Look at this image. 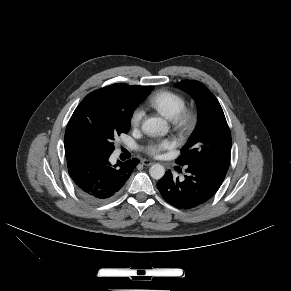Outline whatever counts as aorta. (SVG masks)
I'll return each mask as SVG.
<instances>
[{"label": "aorta", "mask_w": 291, "mask_h": 291, "mask_svg": "<svg viewBox=\"0 0 291 291\" xmlns=\"http://www.w3.org/2000/svg\"><path fill=\"white\" fill-rule=\"evenodd\" d=\"M168 123L160 117H151L142 124V131L147 135H164L168 132ZM149 174L153 179L159 180L165 174V169L161 164H154L149 169Z\"/></svg>", "instance_id": "aorta-1"}]
</instances>
